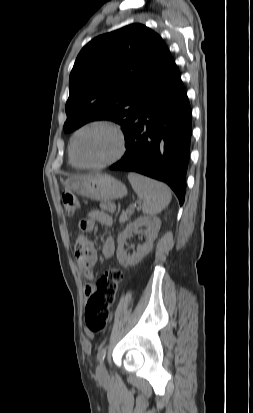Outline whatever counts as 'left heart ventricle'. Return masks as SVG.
Instances as JSON below:
<instances>
[{
	"label": "left heart ventricle",
	"mask_w": 253,
	"mask_h": 413,
	"mask_svg": "<svg viewBox=\"0 0 253 413\" xmlns=\"http://www.w3.org/2000/svg\"><path fill=\"white\" fill-rule=\"evenodd\" d=\"M117 148L114 134L105 127L83 131L75 142V156L81 163L95 164L111 157Z\"/></svg>",
	"instance_id": "1"
}]
</instances>
